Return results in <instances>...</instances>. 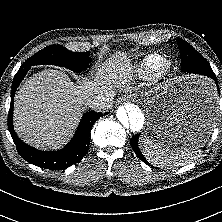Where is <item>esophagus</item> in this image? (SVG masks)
<instances>
[{
    "instance_id": "obj_1",
    "label": "esophagus",
    "mask_w": 222,
    "mask_h": 222,
    "mask_svg": "<svg viewBox=\"0 0 222 222\" xmlns=\"http://www.w3.org/2000/svg\"><path fill=\"white\" fill-rule=\"evenodd\" d=\"M122 101H124V99L120 98V99L118 100V103H120V102H122Z\"/></svg>"
}]
</instances>
